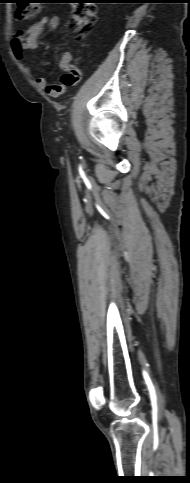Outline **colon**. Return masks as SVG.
Masks as SVG:
<instances>
[{
    "instance_id": "colon-1",
    "label": "colon",
    "mask_w": 190,
    "mask_h": 483,
    "mask_svg": "<svg viewBox=\"0 0 190 483\" xmlns=\"http://www.w3.org/2000/svg\"><path fill=\"white\" fill-rule=\"evenodd\" d=\"M39 0H19L15 15L19 19H31L39 11ZM73 4L72 16L69 18L67 27L77 33L78 39L82 40L96 22V7L88 2L78 1ZM75 77L71 73H65L58 84V89L73 85Z\"/></svg>"
}]
</instances>
